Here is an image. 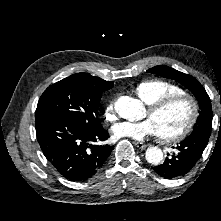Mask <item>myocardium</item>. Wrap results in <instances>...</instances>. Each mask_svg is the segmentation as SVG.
<instances>
[{"label":"myocardium","instance_id":"myocardium-1","mask_svg":"<svg viewBox=\"0 0 221 221\" xmlns=\"http://www.w3.org/2000/svg\"><path fill=\"white\" fill-rule=\"evenodd\" d=\"M185 102L189 108V116L186 124L179 130L177 133L165 136L158 133L160 141L164 143H176L184 138H186L193 127L196 124L198 115H199V106L195 98L187 93L174 94L170 96L163 97L156 102L150 104L148 111L150 115L157 114L164 110L166 107L175 104L177 102Z\"/></svg>","mask_w":221,"mask_h":221}]
</instances>
